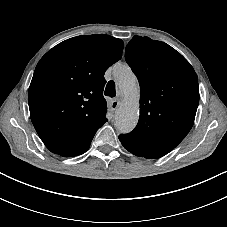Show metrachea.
Masks as SVG:
<instances>
[{"label": "trachea", "instance_id": "obj_1", "mask_svg": "<svg viewBox=\"0 0 227 227\" xmlns=\"http://www.w3.org/2000/svg\"><path fill=\"white\" fill-rule=\"evenodd\" d=\"M104 94L105 96H109L111 98L116 96V85L114 81L111 80L107 83Z\"/></svg>", "mask_w": 227, "mask_h": 227}]
</instances>
